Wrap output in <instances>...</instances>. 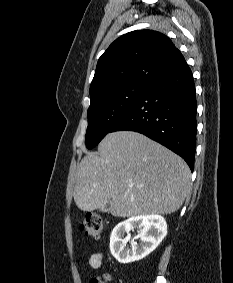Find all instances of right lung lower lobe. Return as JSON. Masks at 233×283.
Wrapping results in <instances>:
<instances>
[{"label":"right lung lower lobe","instance_id":"1","mask_svg":"<svg viewBox=\"0 0 233 283\" xmlns=\"http://www.w3.org/2000/svg\"><path fill=\"white\" fill-rule=\"evenodd\" d=\"M197 102L185 59L153 79L114 131H136L180 155L194 169Z\"/></svg>","mask_w":233,"mask_h":283}]
</instances>
